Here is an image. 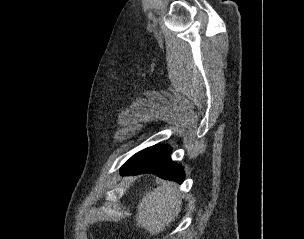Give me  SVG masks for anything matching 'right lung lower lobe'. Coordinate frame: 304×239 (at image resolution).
Listing matches in <instances>:
<instances>
[{"mask_svg": "<svg viewBox=\"0 0 304 239\" xmlns=\"http://www.w3.org/2000/svg\"><path fill=\"white\" fill-rule=\"evenodd\" d=\"M171 148L156 145L146 148L132 156L121 168L125 175L153 173L163 179L182 183L185 177L182 167L171 158Z\"/></svg>", "mask_w": 304, "mask_h": 239, "instance_id": "98d812e1", "label": "right lung lower lobe"}]
</instances>
